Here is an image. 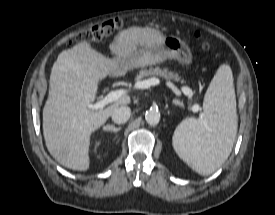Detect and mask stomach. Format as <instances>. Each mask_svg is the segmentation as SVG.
Instances as JSON below:
<instances>
[{"label":"stomach","mask_w":275,"mask_h":215,"mask_svg":"<svg viewBox=\"0 0 275 215\" xmlns=\"http://www.w3.org/2000/svg\"><path fill=\"white\" fill-rule=\"evenodd\" d=\"M166 59H175L188 66L192 63V54L189 47L181 39L162 37L152 48L120 58L117 72L126 73L128 70L146 67Z\"/></svg>","instance_id":"1"}]
</instances>
